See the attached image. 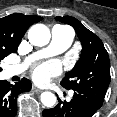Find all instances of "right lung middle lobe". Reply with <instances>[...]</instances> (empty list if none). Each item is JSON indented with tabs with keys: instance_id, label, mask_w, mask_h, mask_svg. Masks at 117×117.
I'll use <instances>...</instances> for the list:
<instances>
[{
	"instance_id": "1",
	"label": "right lung middle lobe",
	"mask_w": 117,
	"mask_h": 117,
	"mask_svg": "<svg viewBox=\"0 0 117 117\" xmlns=\"http://www.w3.org/2000/svg\"><path fill=\"white\" fill-rule=\"evenodd\" d=\"M17 51V49H13L10 47H4V46H0V61L7 55H9L10 53H15ZM2 69L0 68V71Z\"/></svg>"
}]
</instances>
